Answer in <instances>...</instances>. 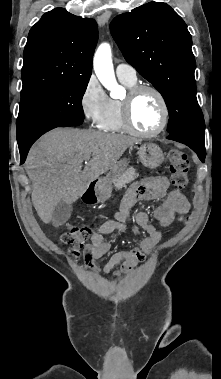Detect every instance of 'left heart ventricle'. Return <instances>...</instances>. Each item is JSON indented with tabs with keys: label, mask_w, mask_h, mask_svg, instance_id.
Segmentation results:
<instances>
[{
	"label": "left heart ventricle",
	"mask_w": 221,
	"mask_h": 379,
	"mask_svg": "<svg viewBox=\"0 0 221 379\" xmlns=\"http://www.w3.org/2000/svg\"><path fill=\"white\" fill-rule=\"evenodd\" d=\"M135 126L144 132L158 128L161 121V107L157 97L151 92H143L137 96L132 106Z\"/></svg>",
	"instance_id": "b2bd125f"
}]
</instances>
